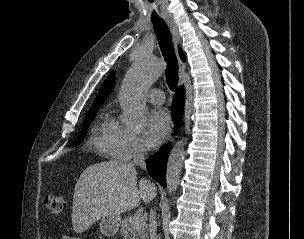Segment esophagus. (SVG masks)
<instances>
[{
    "label": "esophagus",
    "instance_id": "34e87169",
    "mask_svg": "<svg viewBox=\"0 0 304 239\" xmlns=\"http://www.w3.org/2000/svg\"><path fill=\"white\" fill-rule=\"evenodd\" d=\"M166 22H167V24H168V26L170 28V31H171V34H172V37H173V42H174V45H175V47L177 49V46L180 43V37H179L178 31L176 29V26L174 25V23L170 19H167ZM178 61H179V73H180V75H182V74H184L185 66L186 65H185V63L180 58L178 59ZM181 84H182V81H181ZM173 127H174V125L172 126V129H171V131H170V133H169V135L167 137V141L166 142H169V141L172 140V137H173L172 136Z\"/></svg>",
    "mask_w": 304,
    "mask_h": 239
}]
</instances>
